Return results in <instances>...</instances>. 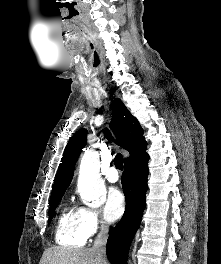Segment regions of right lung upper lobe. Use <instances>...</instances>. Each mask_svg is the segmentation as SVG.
<instances>
[{
	"mask_svg": "<svg viewBox=\"0 0 221 264\" xmlns=\"http://www.w3.org/2000/svg\"><path fill=\"white\" fill-rule=\"evenodd\" d=\"M112 108L113 118L110 126L116 135L118 144L130 153V156L125 158V163L148 157L145 152L147 143L138 120L131 115L120 99L113 102ZM86 136L87 130L80 129L70 138L54 180L51 198L64 194L70 185L76 160L87 143ZM105 136L107 139H111V134L107 128L105 129Z\"/></svg>",
	"mask_w": 221,
	"mask_h": 264,
	"instance_id": "cb5924a9",
	"label": "right lung upper lobe"
}]
</instances>
